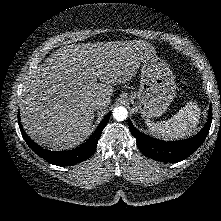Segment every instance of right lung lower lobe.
<instances>
[{
	"label": "right lung lower lobe",
	"instance_id": "98d812e1",
	"mask_svg": "<svg viewBox=\"0 0 221 221\" xmlns=\"http://www.w3.org/2000/svg\"><path fill=\"white\" fill-rule=\"evenodd\" d=\"M109 118H110V113L107 114L105 119L100 123L98 128L92 134V136L81 146L70 151H60V152L46 150L41 146L37 145L25 133L19 117H18L19 120L18 123L24 140L37 155H39L41 158L45 159L49 163L57 166H71L88 159L94 153V151L97 148V143L101 136L102 130L107 124Z\"/></svg>",
	"mask_w": 221,
	"mask_h": 221
}]
</instances>
